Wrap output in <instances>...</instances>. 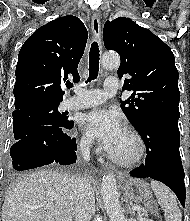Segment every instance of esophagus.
Listing matches in <instances>:
<instances>
[{
  "instance_id": "obj_1",
  "label": "esophagus",
  "mask_w": 190,
  "mask_h": 221,
  "mask_svg": "<svg viewBox=\"0 0 190 221\" xmlns=\"http://www.w3.org/2000/svg\"><path fill=\"white\" fill-rule=\"evenodd\" d=\"M91 29H92V33L94 38L98 41V43L101 44V22H100V14L99 12H94L93 16H92V21H91ZM104 170L106 171H114L115 168L109 164L106 163L103 166Z\"/></svg>"
}]
</instances>
